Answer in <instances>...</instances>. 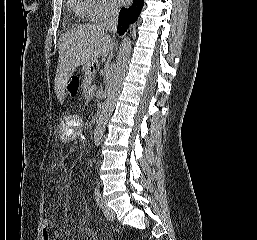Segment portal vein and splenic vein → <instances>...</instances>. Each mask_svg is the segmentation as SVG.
<instances>
[{"label":"portal vein and splenic vein","instance_id":"1","mask_svg":"<svg viewBox=\"0 0 257 240\" xmlns=\"http://www.w3.org/2000/svg\"><path fill=\"white\" fill-rule=\"evenodd\" d=\"M94 90H95V87H91L90 90H89V95H93L94 94Z\"/></svg>","mask_w":257,"mask_h":240}]
</instances>
